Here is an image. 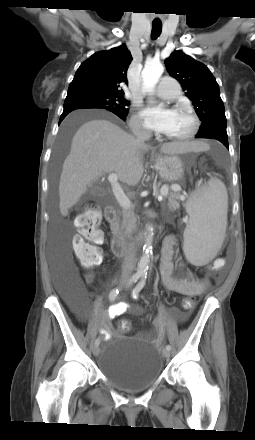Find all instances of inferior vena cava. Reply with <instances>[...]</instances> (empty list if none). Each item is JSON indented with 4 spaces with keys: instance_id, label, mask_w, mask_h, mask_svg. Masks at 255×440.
I'll return each instance as SVG.
<instances>
[{
    "instance_id": "inferior-vena-cava-1",
    "label": "inferior vena cava",
    "mask_w": 255,
    "mask_h": 440,
    "mask_svg": "<svg viewBox=\"0 0 255 440\" xmlns=\"http://www.w3.org/2000/svg\"><path fill=\"white\" fill-rule=\"evenodd\" d=\"M135 135L137 137V140L140 142H144L149 138L148 133L142 130H137L135 132ZM134 267H135V249L133 246H130V248L128 249L125 255L124 262L122 265V279L128 280L131 277Z\"/></svg>"
}]
</instances>
